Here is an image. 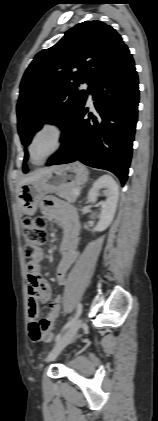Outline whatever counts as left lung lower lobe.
Instances as JSON below:
<instances>
[{
  "label": "left lung lower lobe",
  "instance_id": "obj_1",
  "mask_svg": "<svg viewBox=\"0 0 158 421\" xmlns=\"http://www.w3.org/2000/svg\"><path fill=\"white\" fill-rule=\"evenodd\" d=\"M92 93L95 115L88 119L84 105L61 137L62 146L47 166L76 160L114 173L124 185L132 157L139 102L138 76L126 45L88 89Z\"/></svg>",
  "mask_w": 158,
  "mask_h": 421
}]
</instances>
